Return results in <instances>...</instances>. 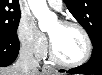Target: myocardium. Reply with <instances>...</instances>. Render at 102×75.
<instances>
[{"label": "myocardium", "instance_id": "f54148a6", "mask_svg": "<svg viewBox=\"0 0 102 75\" xmlns=\"http://www.w3.org/2000/svg\"><path fill=\"white\" fill-rule=\"evenodd\" d=\"M59 24L65 27H75L77 28L83 35L84 40H85V53L84 55L77 61L74 62H66L64 60H62L56 53V50L52 44L51 39L49 40V55L50 58L53 62H55L58 65L64 66V67H74V66H78L84 62H86L92 52V43H91V39L89 37L88 32L86 31V29L77 21L73 20V19H64V20H60Z\"/></svg>", "mask_w": 102, "mask_h": 75}]
</instances>
